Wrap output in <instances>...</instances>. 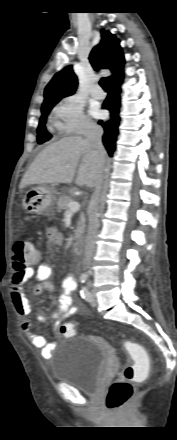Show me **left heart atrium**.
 I'll return each mask as SVG.
<instances>
[{"label": "left heart atrium", "instance_id": "1", "mask_svg": "<svg viewBox=\"0 0 177 440\" xmlns=\"http://www.w3.org/2000/svg\"><path fill=\"white\" fill-rule=\"evenodd\" d=\"M93 114H94L95 116H99V115H100V113H99L97 110H94V111H93Z\"/></svg>", "mask_w": 177, "mask_h": 440}]
</instances>
